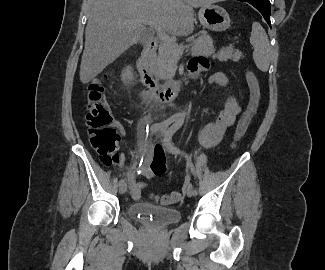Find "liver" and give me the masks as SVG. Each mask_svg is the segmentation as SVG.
Segmentation results:
<instances>
[{
    "instance_id": "obj_1",
    "label": "liver",
    "mask_w": 325,
    "mask_h": 270,
    "mask_svg": "<svg viewBox=\"0 0 325 270\" xmlns=\"http://www.w3.org/2000/svg\"><path fill=\"white\" fill-rule=\"evenodd\" d=\"M213 0H89L80 81L89 83L146 32L152 20L177 36L193 32V7Z\"/></svg>"
}]
</instances>
